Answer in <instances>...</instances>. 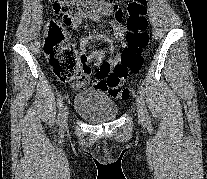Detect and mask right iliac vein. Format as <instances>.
<instances>
[{"mask_svg":"<svg viewBox=\"0 0 207 179\" xmlns=\"http://www.w3.org/2000/svg\"><path fill=\"white\" fill-rule=\"evenodd\" d=\"M67 120H68V108L67 106H63L61 109V117L59 121L61 130L65 129L67 125Z\"/></svg>","mask_w":207,"mask_h":179,"instance_id":"right-iliac-vein-1","label":"right iliac vein"}]
</instances>
